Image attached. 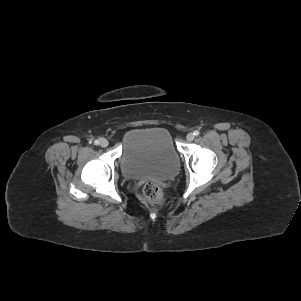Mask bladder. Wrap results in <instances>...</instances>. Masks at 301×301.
Wrapping results in <instances>:
<instances>
[{
    "mask_svg": "<svg viewBox=\"0 0 301 301\" xmlns=\"http://www.w3.org/2000/svg\"><path fill=\"white\" fill-rule=\"evenodd\" d=\"M179 156L168 130L149 126L130 130L123 142L120 170L127 179L168 180L179 169Z\"/></svg>",
    "mask_w": 301,
    "mask_h": 301,
    "instance_id": "31cf9c89",
    "label": "bladder"
}]
</instances>
